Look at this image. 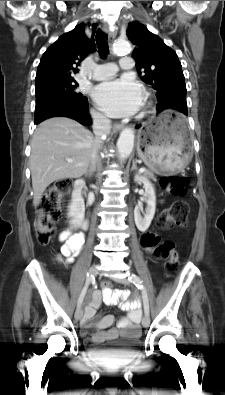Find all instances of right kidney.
Masks as SVG:
<instances>
[{"label":"right kidney","instance_id":"1","mask_svg":"<svg viewBox=\"0 0 225 395\" xmlns=\"http://www.w3.org/2000/svg\"><path fill=\"white\" fill-rule=\"evenodd\" d=\"M85 215L84 200L81 198L80 189L76 193L68 206V217L71 219L70 223L77 228L81 225Z\"/></svg>","mask_w":225,"mask_h":395}]
</instances>
